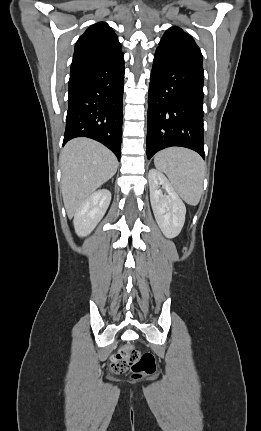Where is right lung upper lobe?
I'll return each mask as SVG.
<instances>
[{
    "label": "right lung upper lobe",
    "mask_w": 261,
    "mask_h": 431,
    "mask_svg": "<svg viewBox=\"0 0 261 431\" xmlns=\"http://www.w3.org/2000/svg\"><path fill=\"white\" fill-rule=\"evenodd\" d=\"M121 44L112 28L105 22L90 26L75 44L73 57L88 54H112L120 52Z\"/></svg>",
    "instance_id": "cb5924a9"
}]
</instances>
